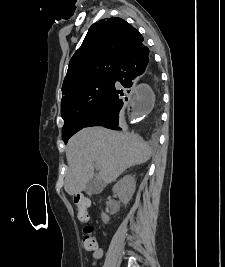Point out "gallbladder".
<instances>
[{
	"instance_id": "obj_1",
	"label": "gallbladder",
	"mask_w": 225,
	"mask_h": 267,
	"mask_svg": "<svg viewBox=\"0 0 225 267\" xmlns=\"http://www.w3.org/2000/svg\"><path fill=\"white\" fill-rule=\"evenodd\" d=\"M100 185H97L96 182L92 179L87 184V190L93 193H97L100 190Z\"/></svg>"
}]
</instances>
